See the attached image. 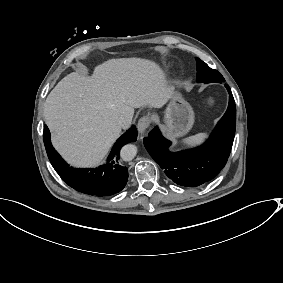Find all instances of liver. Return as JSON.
<instances>
[{"mask_svg": "<svg viewBox=\"0 0 283 283\" xmlns=\"http://www.w3.org/2000/svg\"><path fill=\"white\" fill-rule=\"evenodd\" d=\"M164 84L154 63L135 58L110 60L91 79L70 73L44 105L55 147L75 165L97 164L120 135L121 117L131 122L134 108L166 104L171 91Z\"/></svg>", "mask_w": 283, "mask_h": 283, "instance_id": "6515ba94", "label": "liver"}]
</instances>
